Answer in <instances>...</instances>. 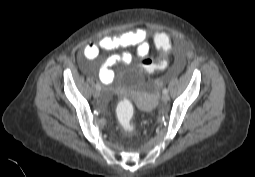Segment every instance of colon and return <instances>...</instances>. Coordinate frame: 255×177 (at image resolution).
I'll return each instance as SVG.
<instances>
[{"label": "colon", "instance_id": "5ec220e1", "mask_svg": "<svg viewBox=\"0 0 255 177\" xmlns=\"http://www.w3.org/2000/svg\"><path fill=\"white\" fill-rule=\"evenodd\" d=\"M152 44L157 47L159 55L157 61L144 57L141 62V68L146 72L164 71L167 68L172 46L170 38L164 29H157L152 37ZM134 107L127 99H122L116 109V118L120 128L124 132H131L134 129L133 124Z\"/></svg>", "mask_w": 255, "mask_h": 177}]
</instances>
